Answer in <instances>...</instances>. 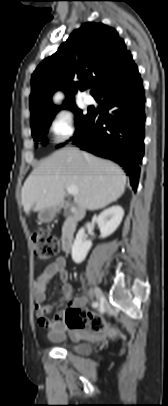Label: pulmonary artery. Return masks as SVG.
Returning <instances> with one entry per match:
<instances>
[{
  "label": "pulmonary artery",
  "mask_w": 168,
  "mask_h": 406,
  "mask_svg": "<svg viewBox=\"0 0 168 406\" xmlns=\"http://www.w3.org/2000/svg\"><path fill=\"white\" fill-rule=\"evenodd\" d=\"M84 102L87 105H91L94 103V98L90 94H85L84 95Z\"/></svg>",
  "instance_id": "e3ab8cb5"
}]
</instances>
